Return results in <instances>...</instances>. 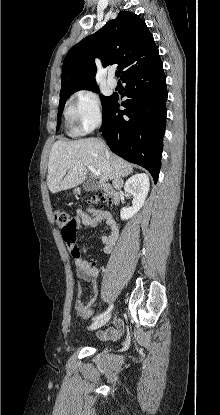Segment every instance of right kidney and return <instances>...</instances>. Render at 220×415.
I'll use <instances>...</instances> for the list:
<instances>
[{
    "instance_id": "obj_1",
    "label": "right kidney",
    "mask_w": 220,
    "mask_h": 415,
    "mask_svg": "<svg viewBox=\"0 0 220 415\" xmlns=\"http://www.w3.org/2000/svg\"><path fill=\"white\" fill-rule=\"evenodd\" d=\"M149 189V177L145 173L136 174L126 181L124 190L133 196V205L130 208L121 209L120 217L122 220L132 218L142 208Z\"/></svg>"
}]
</instances>
